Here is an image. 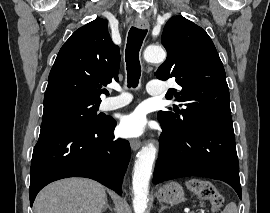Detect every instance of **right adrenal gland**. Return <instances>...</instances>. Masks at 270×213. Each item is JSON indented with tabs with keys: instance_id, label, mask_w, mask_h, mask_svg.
I'll return each instance as SVG.
<instances>
[{
	"instance_id": "2a0ac1e0",
	"label": "right adrenal gland",
	"mask_w": 270,
	"mask_h": 213,
	"mask_svg": "<svg viewBox=\"0 0 270 213\" xmlns=\"http://www.w3.org/2000/svg\"><path fill=\"white\" fill-rule=\"evenodd\" d=\"M107 209H109L111 212H112V208L109 206V204H108V200H106V203H105V205H104V207H103V212L104 211H106Z\"/></svg>"
}]
</instances>
